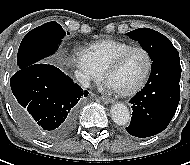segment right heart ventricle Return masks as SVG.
<instances>
[{
  "mask_svg": "<svg viewBox=\"0 0 190 165\" xmlns=\"http://www.w3.org/2000/svg\"><path fill=\"white\" fill-rule=\"evenodd\" d=\"M130 46H132V44L125 41L106 39L90 44L87 50L98 69L102 73H105L112 60L121 51Z\"/></svg>",
  "mask_w": 190,
  "mask_h": 165,
  "instance_id": "obj_1",
  "label": "right heart ventricle"
}]
</instances>
